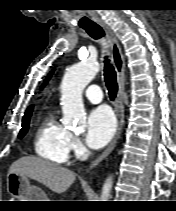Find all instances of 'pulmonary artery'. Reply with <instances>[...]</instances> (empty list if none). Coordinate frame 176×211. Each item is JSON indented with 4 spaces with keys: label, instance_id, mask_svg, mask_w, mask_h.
Here are the masks:
<instances>
[{
    "label": "pulmonary artery",
    "instance_id": "obj_1",
    "mask_svg": "<svg viewBox=\"0 0 176 211\" xmlns=\"http://www.w3.org/2000/svg\"><path fill=\"white\" fill-rule=\"evenodd\" d=\"M84 95L86 99L93 104H98L103 99L101 89L98 85H90L87 87Z\"/></svg>",
    "mask_w": 176,
    "mask_h": 211
}]
</instances>
